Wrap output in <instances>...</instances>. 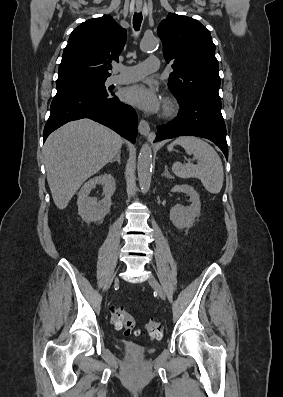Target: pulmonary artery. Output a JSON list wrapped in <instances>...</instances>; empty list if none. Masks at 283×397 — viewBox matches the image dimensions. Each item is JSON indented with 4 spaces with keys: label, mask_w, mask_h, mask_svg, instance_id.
<instances>
[{
    "label": "pulmonary artery",
    "mask_w": 283,
    "mask_h": 397,
    "mask_svg": "<svg viewBox=\"0 0 283 397\" xmlns=\"http://www.w3.org/2000/svg\"><path fill=\"white\" fill-rule=\"evenodd\" d=\"M115 69L119 72L108 79L109 84H128L139 81L144 76L157 72L160 69V61L157 57H149L144 62L134 66L117 65Z\"/></svg>",
    "instance_id": "1"
}]
</instances>
